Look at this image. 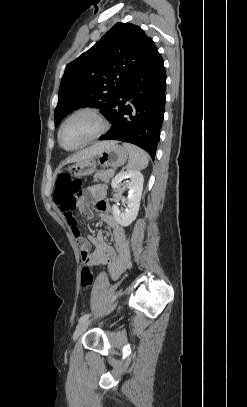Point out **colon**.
<instances>
[{"mask_svg": "<svg viewBox=\"0 0 247 407\" xmlns=\"http://www.w3.org/2000/svg\"><path fill=\"white\" fill-rule=\"evenodd\" d=\"M82 188L81 180L72 177L68 173H61L55 180L54 200L63 203L74 199ZM94 271L92 266L86 265L81 271V286L84 290L89 289L94 283Z\"/></svg>", "mask_w": 247, "mask_h": 407, "instance_id": "5ec220e1", "label": "colon"}]
</instances>
